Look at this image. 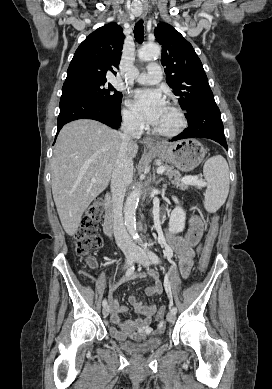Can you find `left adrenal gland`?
<instances>
[{
    "instance_id": "1",
    "label": "left adrenal gland",
    "mask_w": 272,
    "mask_h": 389,
    "mask_svg": "<svg viewBox=\"0 0 272 389\" xmlns=\"http://www.w3.org/2000/svg\"><path fill=\"white\" fill-rule=\"evenodd\" d=\"M162 180H163L162 178L159 180H156L155 175L153 176V181L155 182L156 185L159 184Z\"/></svg>"
}]
</instances>
